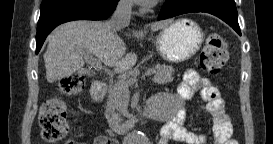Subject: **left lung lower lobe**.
Returning <instances> with one entry per match:
<instances>
[{
    "mask_svg": "<svg viewBox=\"0 0 273 144\" xmlns=\"http://www.w3.org/2000/svg\"><path fill=\"white\" fill-rule=\"evenodd\" d=\"M189 12H207L213 14L225 21L241 35L234 0H166L158 16V20Z\"/></svg>",
    "mask_w": 273,
    "mask_h": 144,
    "instance_id": "1",
    "label": "left lung lower lobe"
}]
</instances>
